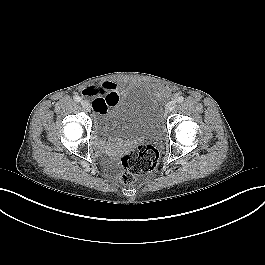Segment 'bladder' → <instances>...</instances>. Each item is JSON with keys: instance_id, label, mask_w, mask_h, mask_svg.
Here are the masks:
<instances>
[{"instance_id": "obj_1", "label": "bladder", "mask_w": 265, "mask_h": 265, "mask_svg": "<svg viewBox=\"0 0 265 265\" xmlns=\"http://www.w3.org/2000/svg\"><path fill=\"white\" fill-rule=\"evenodd\" d=\"M164 115L160 95L150 84L140 81L129 84L104 115L97 134L108 139H145L159 137Z\"/></svg>"}]
</instances>
